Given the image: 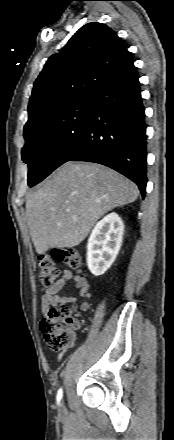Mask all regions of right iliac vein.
<instances>
[{
    "label": "right iliac vein",
    "instance_id": "right-iliac-vein-1",
    "mask_svg": "<svg viewBox=\"0 0 174 440\" xmlns=\"http://www.w3.org/2000/svg\"><path fill=\"white\" fill-rule=\"evenodd\" d=\"M64 412H65V408H64L63 405H61V406H60V409H59V414H60V415H63Z\"/></svg>",
    "mask_w": 174,
    "mask_h": 440
}]
</instances>
